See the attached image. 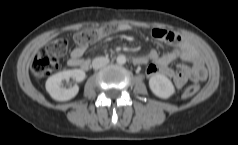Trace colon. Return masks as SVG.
I'll use <instances>...</instances> for the list:
<instances>
[{
    "label": "colon",
    "instance_id": "colon-1",
    "mask_svg": "<svg viewBox=\"0 0 238 145\" xmlns=\"http://www.w3.org/2000/svg\"><path fill=\"white\" fill-rule=\"evenodd\" d=\"M111 26L100 28H89L77 32L73 40L79 47L86 48L88 45L99 40L111 31ZM68 42L58 38L50 42L44 49L39 51L32 63V72L38 79H45L55 72L59 67V59L65 55ZM199 89L196 84L189 85L183 92L185 98L192 97Z\"/></svg>",
    "mask_w": 238,
    "mask_h": 145
}]
</instances>
